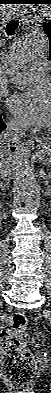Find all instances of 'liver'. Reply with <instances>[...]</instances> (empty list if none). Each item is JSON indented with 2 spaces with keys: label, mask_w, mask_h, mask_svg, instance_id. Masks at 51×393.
Here are the masks:
<instances>
[{
  "label": "liver",
  "mask_w": 51,
  "mask_h": 393,
  "mask_svg": "<svg viewBox=\"0 0 51 393\" xmlns=\"http://www.w3.org/2000/svg\"><path fill=\"white\" fill-rule=\"evenodd\" d=\"M1 161H6L11 165V167H14L13 156L11 155L9 150L4 146H1L0 149V163Z\"/></svg>",
  "instance_id": "liver-1"
}]
</instances>
